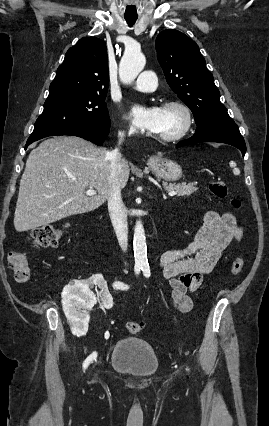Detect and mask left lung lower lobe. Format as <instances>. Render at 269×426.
<instances>
[{
  "instance_id": "obj_1",
  "label": "left lung lower lobe",
  "mask_w": 269,
  "mask_h": 426,
  "mask_svg": "<svg viewBox=\"0 0 269 426\" xmlns=\"http://www.w3.org/2000/svg\"><path fill=\"white\" fill-rule=\"evenodd\" d=\"M201 142L226 143L238 148L242 152L243 157L246 153L245 141L237 124L230 117L217 119L213 123L197 126L195 134L179 142L176 147Z\"/></svg>"
}]
</instances>
